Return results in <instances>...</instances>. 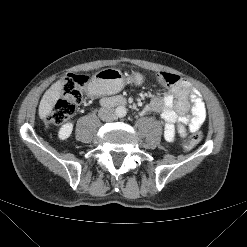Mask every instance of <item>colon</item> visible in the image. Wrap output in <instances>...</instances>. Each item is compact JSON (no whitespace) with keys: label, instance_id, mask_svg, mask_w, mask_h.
Wrapping results in <instances>:
<instances>
[{"label":"colon","instance_id":"obj_1","mask_svg":"<svg viewBox=\"0 0 247 247\" xmlns=\"http://www.w3.org/2000/svg\"><path fill=\"white\" fill-rule=\"evenodd\" d=\"M155 80L161 85L173 86L179 82L180 77L172 73L159 72L155 74ZM87 82L88 78L83 75L69 74L65 78L61 86V96L46 118L49 124H61L74 115L77 106L83 100ZM202 138V132H195L188 141L185 142L184 148L187 150L194 148Z\"/></svg>","mask_w":247,"mask_h":247}]
</instances>
